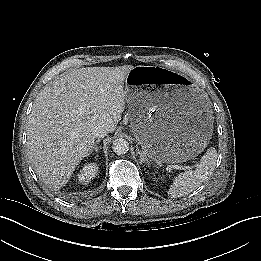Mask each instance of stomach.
Returning <instances> with one entry per match:
<instances>
[{"instance_id": "0dacf381", "label": "stomach", "mask_w": 261, "mask_h": 261, "mask_svg": "<svg viewBox=\"0 0 261 261\" xmlns=\"http://www.w3.org/2000/svg\"><path fill=\"white\" fill-rule=\"evenodd\" d=\"M156 75L169 78L153 83ZM125 84L132 129L150 160L181 163L203 151L212 135L211 112L186 78L163 68L136 66Z\"/></svg>"}]
</instances>
